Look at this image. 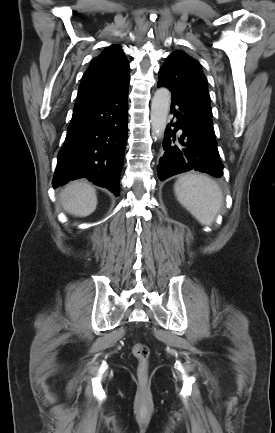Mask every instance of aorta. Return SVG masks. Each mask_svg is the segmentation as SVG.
Wrapping results in <instances>:
<instances>
[{"label":"aorta","instance_id":"obj_1","mask_svg":"<svg viewBox=\"0 0 275 433\" xmlns=\"http://www.w3.org/2000/svg\"><path fill=\"white\" fill-rule=\"evenodd\" d=\"M171 94L170 91L161 87L156 90L151 102V129L152 134L156 138H161L164 135L168 113L170 110Z\"/></svg>","mask_w":275,"mask_h":433}]
</instances>
